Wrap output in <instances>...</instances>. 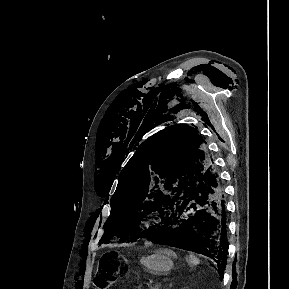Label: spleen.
I'll return each mask as SVG.
<instances>
[{
  "label": "spleen",
  "mask_w": 289,
  "mask_h": 289,
  "mask_svg": "<svg viewBox=\"0 0 289 289\" xmlns=\"http://www.w3.org/2000/svg\"><path fill=\"white\" fill-rule=\"evenodd\" d=\"M187 262L190 266H196L197 264H199L200 261L196 256L190 255L187 259Z\"/></svg>",
  "instance_id": "spleen-1"
}]
</instances>
